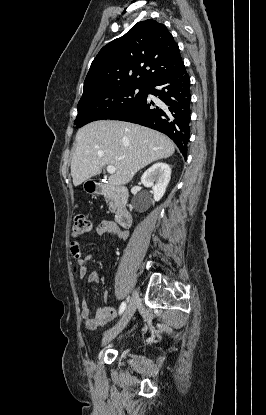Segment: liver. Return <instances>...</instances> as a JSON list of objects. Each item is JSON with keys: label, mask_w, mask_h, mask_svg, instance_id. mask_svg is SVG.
<instances>
[{"label": "liver", "mask_w": 266, "mask_h": 415, "mask_svg": "<svg viewBox=\"0 0 266 415\" xmlns=\"http://www.w3.org/2000/svg\"><path fill=\"white\" fill-rule=\"evenodd\" d=\"M71 162L74 186L99 175L105 165H113V186L129 183L135 173L154 161L168 158L174 143L162 133L137 124L98 120L80 128L75 138Z\"/></svg>", "instance_id": "6515ba94"}]
</instances>
